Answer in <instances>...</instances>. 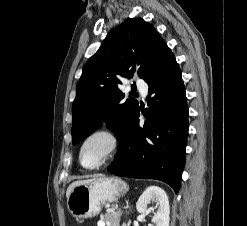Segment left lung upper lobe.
Masks as SVG:
<instances>
[{"label": "left lung upper lobe", "mask_w": 247, "mask_h": 226, "mask_svg": "<svg viewBox=\"0 0 247 226\" xmlns=\"http://www.w3.org/2000/svg\"><path fill=\"white\" fill-rule=\"evenodd\" d=\"M165 45L156 29L141 18H128L107 35L86 62L77 84L72 107L73 144L100 128V120L118 136L138 108L132 97L122 102L121 79L134 73L143 79Z\"/></svg>", "instance_id": "left-lung-upper-lobe-1"}]
</instances>
